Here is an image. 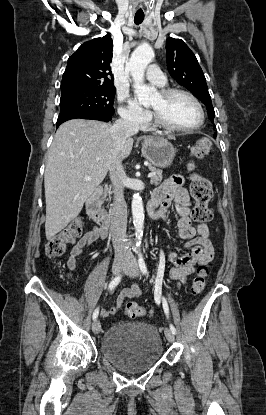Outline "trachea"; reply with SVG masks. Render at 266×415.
Wrapping results in <instances>:
<instances>
[{
	"label": "trachea",
	"instance_id": "trachea-1",
	"mask_svg": "<svg viewBox=\"0 0 266 415\" xmlns=\"http://www.w3.org/2000/svg\"><path fill=\"white\" fill-rule=\"evenodd\" d=\"M143 20H144V16L143 15H135V17H134V22H135V24H141L142 22H143Z\"/></svg>",
	"mask_w": 266,
	"mask_h": 415
}]
</instances>
